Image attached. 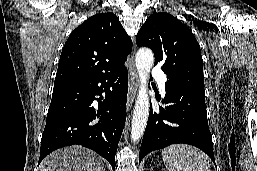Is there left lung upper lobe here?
Wrapping results in <instances>:
<instances>
[{"mask_svg": "<svg viewBox=\"0 0 257 171\" xmlns=\"http://www.w3.org/2000/svg\"><path fill=\"white\" fill-rule=\"evenodd\" d=\"M136 43L153 50L155 64L163 63L168 81L205 93L200 46L192 31L175 17L152 14L140 28Z\"/></svg>", "mask_w": 257, "mask_h": 171, "instance_id": "left-lung-upper-lobe-1", "label": "left lung upper lobe"}]
</instances>
